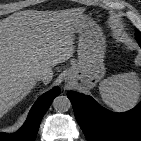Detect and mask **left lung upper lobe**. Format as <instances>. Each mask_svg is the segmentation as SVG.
<instances>
[{
  "mask_svg": "<svg viewBox=\"0 0 141 141\" xmlns=\"http://www.w3.org/2000/svg\"><path fill=\"white\" fill-rule=\"evenodd\" d=\"M141 38V32L139 30H136L135 32V38Z\"/></svg>",
  "mask_w": 141,
  "mask_h": 141,
  "instance_id": "5c2ea615",
  "label": "left lung upper lobe"
}]
</instances>
